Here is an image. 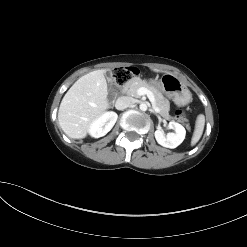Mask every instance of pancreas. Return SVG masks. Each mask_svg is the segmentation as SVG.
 <instances>
[{"instance_id": "cf45deb5", "label": "pancreas", "mask_w": 247, "mask_h": 247, "mask_svg": "<svg viewBox=\"0 0 247 247\" xmlns=\"http://www.w3.org/2000/svg\"><path fill=\"white\" fill-rule=\"evenodd\" d=\"M141 87L147 88L154 94L155 106L159 110L158 113L165 119H171L169 115L170 103L154 84L148 83L140 78H132L122 86V91L130 96L139 97L137 91Z\"/></svg>"}]
</instances>
